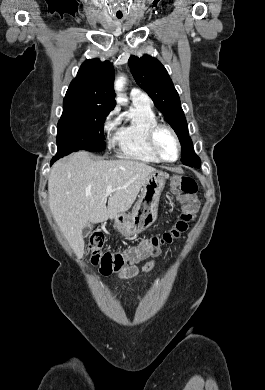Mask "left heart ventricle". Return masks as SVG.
<instances>
[{
    "instance_id": "left-heart-ventricle-1",
    "label": "left heart ventricle",
    "mask_w": 265,
    "mask_h": 390,
    "mask_svg": "<svg viewBox=\"0 0 265 390\" xmlns=\"http://www.w3.org/2000/svg\"><path fill=\"white\" fill-rule=\"evenodd\" d=\"M156 142L159 151L166 159L173 160L176 157V143L172 135L168 131H159V133L157 134Z\"/></svg>"
}]
</instances>
